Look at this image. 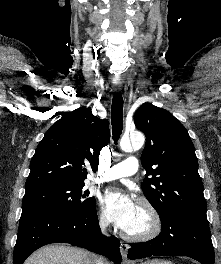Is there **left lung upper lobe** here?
<instances>
[{
	"label": "left lung upper lobe",
	"mask_w": 221,
	"mask_h": 264,
	"mask_svg": "<svg viewBox=\"0 0 221 264\" xmlns=\"http://www.w3.org/2000/svg\"><path fill=\"white\" fill-rule=\"evenodd\" d=\"M134 122L146 136L141 155L146 178L141 187L159 216L206 213L198 160L185 127L170 112L150 103L138 108Z\"/></svg>",
	"instance_id": "1"
}]
</instances>
